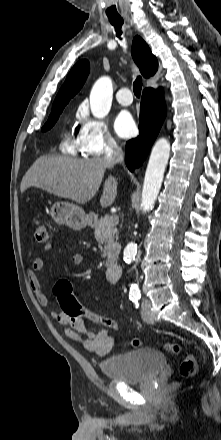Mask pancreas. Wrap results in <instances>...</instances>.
<instances>
[{"instance_id": "cf45deb5", "label": "pancreas", "mask_w": 221, "mask_h": 440, "mask_svg": "<svg viewBox=\"0 0 221 440\" xmlns=\"http://www.w3.org/2000/svg\"><path fill=\"white\" fill-rule=\"evenodd\" d=\"M110 218V216L105 215L95 221L93 226L97 240L104 244V256L115 260L119 253L118 244L115 242V236L118 237V230L110 224Z\"/></svg>"}]
</instances>
